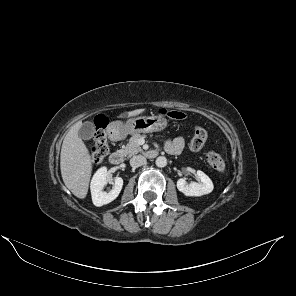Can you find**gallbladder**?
<instances>
[{
  "label": "gallbladder",
  "instance_id": "bac80fb5",
  "mask_svg": "<svg viewBox=\"0 0 296 296\" xmlns=\"http://www.w3.org/2000/svg\"><path fill=\"white\" fill-rule=\"evenodd\" d=\"M94 124L90 121L84 122L78 131V135L80 138L84 140H89L92 138L94 134Z\"/></svg>",
  "mask_w": 296,
  "mask_h": 296
}]
</instances>
